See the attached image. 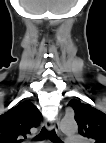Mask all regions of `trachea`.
Segmentation results:
<instances>
[{
    "mask_svg": "<svg viewBox=\"0 0 106 143\" xmlns=\"http://www.w3.org/2000/svg\"><path fill=\"white\" fill-rule=\"evenodd\" d=\"M36 140H44L49 139L54 143H61L60 139L57 137L55 130L53 129L51 132H48L45 127L42 128L40 134L36 136Z\"/></svg>",
    "mask_w": 106,
    "mask_h": 143,
    "instance_id": "trachea-1",
    "label": "trachea"
}]
</instances>
